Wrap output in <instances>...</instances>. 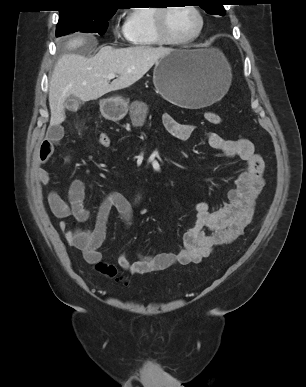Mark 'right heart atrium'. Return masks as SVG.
<instances>
[{
    "instance_id": "right-heart-atrium-1",
    "label": "right heart atrium",
    "mask_w": 306,
    "mask_h": 387,
    "mask_svg": "<svg viewBox=\"0 0 306 387\" xmlns=\"http://www.w3.org/2000/svg\"><path fill=\"white\" fill-rule=\"evenodd\" d=\"M114 33H115V35H117V36L125 35L124 27L121 28V29H119V28L116 27V28L114 29Z\"/></svg>"
}]
</instances>
